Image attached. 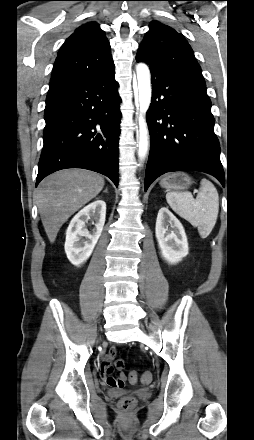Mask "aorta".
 I'll use <instances>...</instances> for the list:
<instances>
[{"label":"aorta","instance_id":"obj_1","mask_svg":"<svg viewBox=\"0 0 254 440\" xmlns=\"http://www.w3.org/2000/svg\"><path fill=\"white\" fill-rule=\"evenodd\" d=\"M138 82L137 107L140 108L139 135H138V156L143 160L149 148L148 127L144 115L149 109L151 103V82L150 71L146 64L139 63L136 67Z\"/></svg>","mask_w":254,"mask_h":440}]
</instances>
